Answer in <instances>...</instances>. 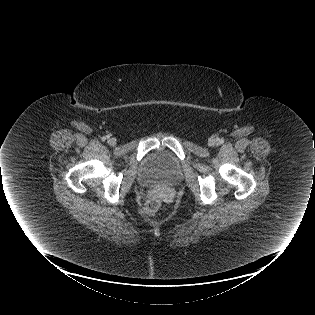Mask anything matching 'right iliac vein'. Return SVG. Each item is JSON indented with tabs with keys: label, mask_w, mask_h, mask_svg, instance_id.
Returning <instances> with one entry per match:
<instances>
[{
	"label": "right iliac vein",
	"mask_w": 315,
	"mask_h": 315,
	"mask_svg": "<svg viewBox=\"0 0 315 315\" xmlns=\"http://www.w3.org/2000/svg\"><path fill=\"white\" fill-rule=\"evenodd\" d=\"M108 143H109V145L114 146V145H116V139L110 138V139H108Z\"/></svg>",
	"instance_id": "right-iliac-vein-1"
}]
</instances>
